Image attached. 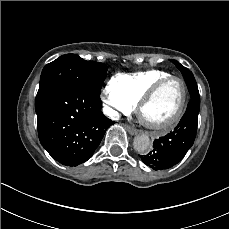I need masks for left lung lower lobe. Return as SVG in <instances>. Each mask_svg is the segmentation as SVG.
<instances>
[{
    "label": "left lung lower lobe",
    "instance_id": "left-lung-lower-lobe-1",
    "mask_svg": "<svg viewBox=\"0 0 229 229\" xmlns=\"http://www.w3.org/2000/svg\"><path fill=\"white\" fill-rule=\"evenodd\" d=\"M184 79L190 93L185 114L171 133L154 141L153 150L149 154L140 156L142 161L154 170L168 169L178 164L192 147L196 137L199 91L192 73L184 76Z\"/></svg>",
    "mask_w": 229,
    "mask_h": 229
}]
</instances>
